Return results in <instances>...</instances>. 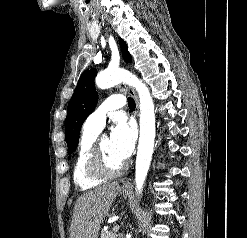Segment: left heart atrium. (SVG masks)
<instances>
[{
    "label": "left heart atrium",
    "instance_id": "1",
    "mask_svg": "<svg viewBox=\"0 0 247 238\" xmlns=\"http://www.w3.org/2000/svg\"><path fill=\"white\" fill-rule=\"evenodd\" d=\"M136 140L135 128L123 118H118L112 128L110 143L121 159H127L133 152Z\"/></svg>",
    "mask_w": 247,
    "mask_h": 238
}]
</instances>
